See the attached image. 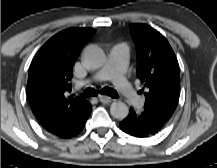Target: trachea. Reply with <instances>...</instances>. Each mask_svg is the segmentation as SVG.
<instances>
[{"label":"trachea","mask_w":217,"mask_h":168,"mask_svg":"<svg viewBox=\"0 0 217 168\" xmlns=\"http://www.w3.org/2000/svg\"><path fill=\"white\" fill-rule=\"evenodd\" d=\"M100 93L104 94V95L111 96L113 98H117L118 97V93L116 92V90L111 89L109 87H104L100 91ZM97 94H98V92L94 88H87L81 95L83 97H91V96H96Z\"/></svg>","instance_id":"1"}]
</instances>
